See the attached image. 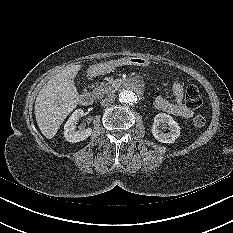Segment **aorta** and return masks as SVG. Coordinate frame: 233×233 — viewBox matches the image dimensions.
Masks as SVG:
<instances>
[{
    "instance_id": "aorta-1",
    "label": "aorta",
    "mask_w": 233,
    "mask_h": 233,
    "mask_svg": "<svg viewBox=\"0 0 233 233\" xmlns=\"http://www.w3.org/2000/svg\"><path fill=\"white\" fill-rule=\"evenodd\" d=\"M143 92V85L137 80H132L120 91L119 101L125 105H132L142 97Z\"/></svg>"
}]
</instances>
